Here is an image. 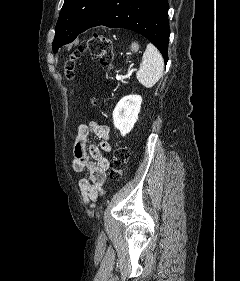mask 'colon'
I'll list each match as a JSON object with an SVG mask.
<instances>
[{"label":"colon","instance_id":"colon-1","mask_svg":"<svg viewBox=\"0 0 240 281\" xmlns=\"http://www.w3.org/2000/svg\"><path fill=\"white\" fill-rule=\"evenodd\" d=\"M90 52L92 55L99 58L100 63L107 69H111L114 60V51L112 41L98 34H93L85 43L81 44L76 51L71 53L64 62V71L67 79H72L74 76L75 60L83 52ZM90 103L97 105V99L92 97ZM129 151L124 146H118L112 157L110 164V178L113 181H118L122 178L127 167Z\"/></svg>","mask_w":240,"mask_h":281}]
</instances>
